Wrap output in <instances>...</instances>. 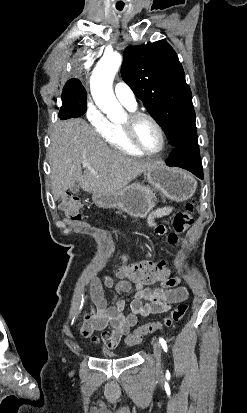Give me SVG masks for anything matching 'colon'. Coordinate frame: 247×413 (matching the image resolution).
Segmentation results:
<instances>
[{
    "label": "colon",
    "instance_id": "colon-1",
    "mask_svg": "<svg viewBox=\"0 0 247 413\" xmlns=\"http://www.w3.org/2000/svg\"><path fill=\"white\" fill-rule=\"evenodd\" d=\"M82 203L80 199L74 196H65L61 203L60 209L69 220H80ZM194 203L189 202L186 209L175 215L172 226L176 229L174 233H167L165 239L170 242L171 245L175 244L176 237L180 234H186L187 226L194 221ZM115 267L113 274L117 278L133 275L135 281L141 286H146L149 282L159 279L161 276H165L169 272V263L165 259H160L157 263L145 262L142 265L139 263H131L124 254H118L114 258ZM189 309V305L182 303L177 305L172 311L163 319L158 321L145 322L141 326L137 327L131 335L126 339V345H135L140 343L144 337L150 333L156 332L164 328H173L176 324L181 322L186 316Z\"/></svg>",
    "mask_w": 247,
    "mask_h": 413
}]
</instances>
